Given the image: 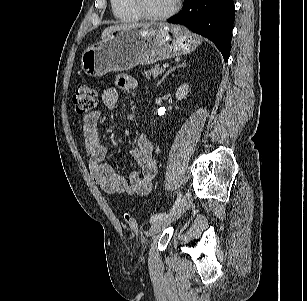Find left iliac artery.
<instances>
[{"label": "left iliac artery", "mask_w": 307, "mask_h": 301, "mask_svg": "<svg viewBox=\"0 0 307 301\" xmlns=\"http://www.w3.org/2000/svg\"><path fill=\"white\" fill-rule=\"evenodd\" d=\"M180 199H181V194L178 195V198L175 201V204L173 205L172 208H174L179 203ZM164 214H166V213H156V214L152 215L151 218H150V222L154 223L155 221L160 219Z\"/></svg>", "instance_id": "44dca946"}]
</instances>
